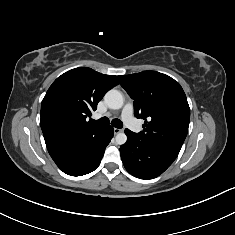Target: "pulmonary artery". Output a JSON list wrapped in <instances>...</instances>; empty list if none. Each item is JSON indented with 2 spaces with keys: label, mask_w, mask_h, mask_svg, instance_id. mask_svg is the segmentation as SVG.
<instances>
[{
  "label": "pulmonary artery",
  "mask_w": 235,
  "mask_h": 235,
  "mask_svg": "<svg viewBox=\"0 0 235 235\" xmlns=\"http://www.w3.org/2000/svg\"><path fill=\"white\" fill-rule=\"evenodd\" d=\"M122 119L124 123L135 133H139L141 131V125L138 121L133 117V104L128 102L122 109L121 113ZM96 117H100V115H96Z\"/></svg>",
  "instance_id": "1"
}]
</instances>
